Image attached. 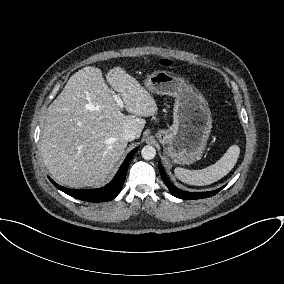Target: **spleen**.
<instances>
[{
  "mask_svg": "<svg viewBox=\"0 0 284 284\" xmlns=\"http://www.w3.org/2000/svg\"><path fill=\"white\" fill-rule=\"evenodd\" d=\"M240 154L238 145H232L226 153L213 165L201 170H188L177 167L175 176L184 183L203 186L218 181L227 175L235 166Z\"/></svg>",
  "mask_w": 284,
  "mask_h": 284,
  "instance_id": "obj_1",
  "label": "spleen"
}]
</instances>
